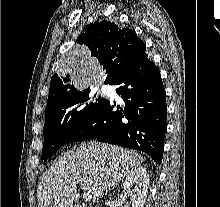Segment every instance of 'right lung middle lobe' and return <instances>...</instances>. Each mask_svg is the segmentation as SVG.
<instances>
[{
  "mask_svg": "<svg viewBox=\"0 0 220 207\" xmlns=\"http://www.w3.org/2000/svg\"><path fill=\"white\" fill-rule=\"evenodd\" d=\"M105 100L90 88L77 90L57 100L45 112L42 159H48L68 143L71 135L100 109Z\"/></svg>",
  "mask_w": 220,
  "mask_h": 207,
  "instance_id": "dd1d6c3e",
  "label": "right lung middle lobe"
}]
</instances>
